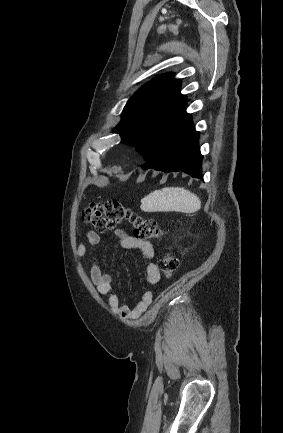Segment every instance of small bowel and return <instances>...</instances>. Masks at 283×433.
Returning <instances> with one entry per match:
<instances>
[{
  "instance_id": "1",
  "label": "small bowel",
  "mask_w": 283,
  "mask_h": 433,
  "mask_svg": "<svg viewBox=\"0 0 283 433\" xmlns=\"http://www.w3.org/2000/svg\"><path fill=\"white\" fill-rule=\"evenodd\" d=\"M116 237L120 247L124 249H139L144 257L148 260L145 269V277L148 283L156 284L160 280V272L157 265L152 262L154 257V248L148 241L138 240L130 236L124 230H117ZM86 242L88 247L92 248L99 244L100 235L95 231H88L86 233ZM87 246L84 243H79L77 247V255L82 257L86 252ZM89 275L92 283L95 285L98 293L106 295L108 304L112 313L121 319H137L151 304L153 295L150 291L145 292L140 298L137 305L133 308L121 304L117 294L113 291L112 277L105 273L97 259H94L90 269Z\"/></svg>"
}]
</instances>
